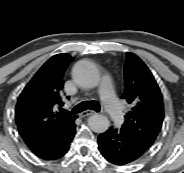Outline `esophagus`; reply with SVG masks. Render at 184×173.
<instances>
[{"mask_svg": "<svg viewBox=\"0 0 184 173\" xmlns=\"http://www.w3.org/2000/svg\"><path fill=\"white\" fill-rule=\"evenodd\" d=\"M95 113H96V112L93 111V110H85V111L81 112V113L79 114V116H80L81 118H84V117L93 115V114H95Z\"/></svg>", "mask_w": 184, "mask_h": 173, "instance_id": "1", "label": "esophagus"}]
</instances>
